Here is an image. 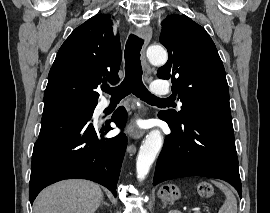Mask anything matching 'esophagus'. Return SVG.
<instances>
[{
  "label": "esophagus",
  "instance_id": "34e87169",
  "mask_svg": "<svg viewBox=\"0 0 270 213\" xmlns=\"http://www.w3.org/2000/svg\"><path fill=\"white\" fill-rule=\"evenodd\" d=\"M137 34L139 37L144 39V46L142 49L141 60H142V64H143L144 69L148 70L149 66H148L146 59H145V49L152 38V29L149 26H142V27L137 29ZM128 133H129L131 138L139 139L144 135V130L137 128L134 125H131L129 127Z\"/></svg>",
  "mask_w": 270,
  "mask_h": 213
}]
</instances>
